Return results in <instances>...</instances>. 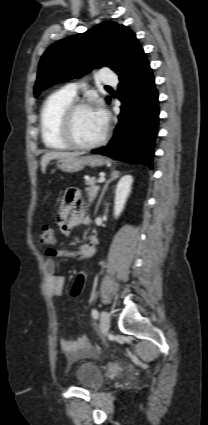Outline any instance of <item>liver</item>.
<instances>
[{
	"instance_id": "obj_1",
	"label": "liver",
	"mask_w": 208,
	"mask_h": 425,
	"mask_svg": "<svg viewBox=\"0 0 208 425\" xmlns=\"http://www.w3.org/2000/svg\"><path fill=\"white\" fill-rule=\"evenodd\" d=\"M82 154H83V152H48V153H45L41 158V170H42L43 173H45L48 163L53 159L78 157Z\"/></svg>"
}]
</instances>
